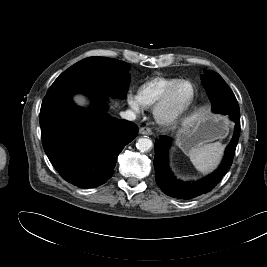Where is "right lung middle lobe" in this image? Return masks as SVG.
<instances>
[{"mask_svg":"<svg viewBox=\"0 0 267 267\" xmlns=\"http://www.w3.org/2000/svg\"><path fill=\"white\" fill-rule=\"evenodd\" d=\"M129 65L106 57H89L63 72L51 85L43 102L72 90H89L124 99L129 87Z\"/></svg>","mask_w":267,"mask_h":267,"instance_id":"dd1d6c3e","label":"right lung middle lobe"}]
</instances>
